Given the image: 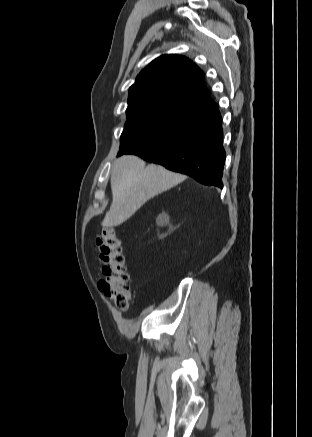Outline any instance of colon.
Masks as SVG:
<instances>
[{
  "instance_id": "1",
  "label": "colon",
  "mask_w": 312,
  "mask_h": 437,
  "mask_svg": "<svg viewBox=\"0 0 312 437\" xmlns=\"http://www.w3.org/2000/svg\"><path fill=\"white\" fill-rule=\"evenodd\" d=\"M96 245L103 263L100 289L119 309L125 310L130 303V287L120 238L114 229L106 228L97 235Z\"/></svg>"
}]
</instances>
